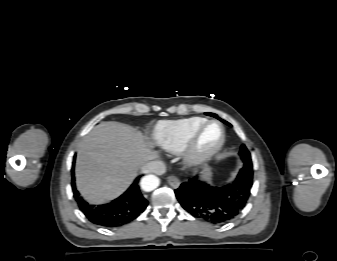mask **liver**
I'll return each instance as SVG.
<instances>
[{
	"mask_svg": "<svg viewBox=\"0 0 337 261\" xmlns=\"http://www.w3.org/2000/svg\"><path fill=\"white\" fill-rule=\"evenodd\" d=\"M156 157L139 131L122 123L104 122L78 145L77 188L90 203L107 202L123 193L138 170Z\"/></svg>",
	"mask_w": 337,
	"mask_h": 261,
	"instance_id": "1",
	"label": "liver"
}]
</instances>
